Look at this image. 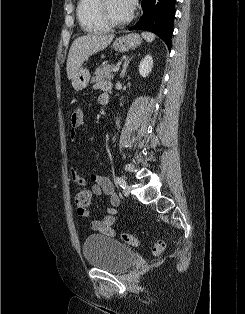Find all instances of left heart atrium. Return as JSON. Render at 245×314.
Returning <instances> with one entry per match:
<instances>
[{"mask_svg": "<svg viewBox=\"0 0 245 314\" xmlns=\"http://www.w3.org/2000/svg\"><path fill=\"white\" fill-rule=\"evenodd\" d=\"M123 4L130 10L133 9L135 0H121Z\"/></svg>", "mask_w": 245, "mask_h": 314, "instance_id": "obj_1", "label": "left heart atrium"}]
</instances>
